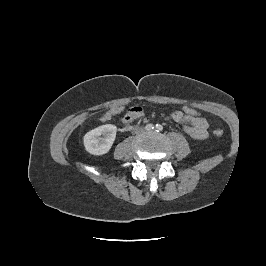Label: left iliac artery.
Returning <instances> with one entry per match:
<instances>
[{
	"mask_svg": "<svg viewBox=\"0 0 266 266\" xmlns=\"http://www.w3.org/2000/svg\"><path fill=\"white\" fill-rule=\"evenodd\" d=\"M155 129H156L157 132H160V131L163 130V126L160 125V124H157L156 127H155Z\"/></svg>",
	"mask_w": 266,
	"mask_h": 266,
	"instance_id": "1",
	"label": "left iliac artery"
}]
</instances>
